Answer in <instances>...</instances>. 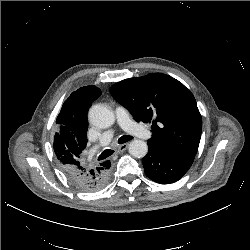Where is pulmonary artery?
Returning a JSON list of instances; mask_svg holds the SVG:
<instances>
[{
  "instance_id": "obj_1",
  "label": "pulmonary artery",
  "mask_w": 250,
  "mask_h": 250,
  "mask_svg": "<svg viewBox=\"0 0 250 250\" xmlns=\"http://www.w3.org/2000/svg\"><path fill=\"white\" fill-rule=\"evenodd\" d=\"M116 118L122 129L127 133L141 139H147L151 136V132L147 128L131 120L128 112L123 107H118L116 109ZM113 136V130L104 132L99 142L89 150V156L93 155L100 146L108 144Z\"/></svg>"
}]
</instances>
